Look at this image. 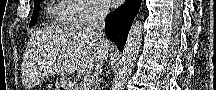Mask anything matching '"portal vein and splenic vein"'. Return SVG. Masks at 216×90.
Masks as SVG:
<instances>
[{
    "label": "portal vein and splenic vein",
    "mask_w": 216,
    "mask_h": 90,
    "mask_svg": "<svg viewBox=\"0 0 216 90\" xmlns=\"http://www.w3.org/2000/svg\"><path fill=\"white\" fill-rule=\"evenodd\" d=\"M94 80L92 78V76H84V82L82 84L83 88H90V86H92Z\"/></svg>",
    "instance_id": "obj_1"
}]
</instances>
